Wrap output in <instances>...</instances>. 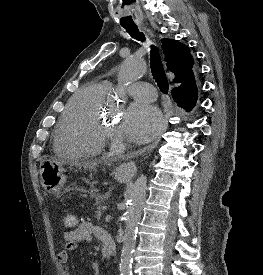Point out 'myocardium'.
<instances>
[{
    "label": "myocardium",
    "mask_w": 263,
    "mask_h": 275,
    "mask_svg": "<svg viewBox=\"0 0 263 275\" xmlns=\"http://www.w3.org/2000/svg\"><path fill=\"white\" fill-rule=\"evenodd\" d=\"M92 133L97 139L105 144L112 139L113 129L101 116H98L92 127Z\"/></svg>",
    "instance_id": "f54148a6"
}]
</instances>
